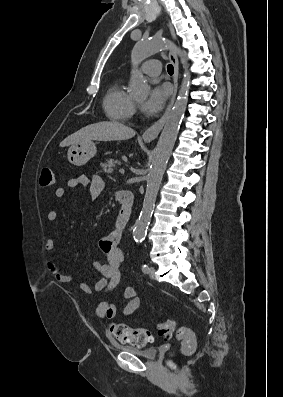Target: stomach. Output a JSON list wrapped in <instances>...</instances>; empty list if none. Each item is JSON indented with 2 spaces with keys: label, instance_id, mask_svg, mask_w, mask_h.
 <instances>
[{
  "label": "stomach",
  "instance_id": "stomach-1",
  "mask_svg": "<svg viewBox=\"0 0 283 397\" xmlns=\"http://www.w3.org/2000/svg\"><path fill=\"white\" fill-rule=\"evenodd\" d=\"M96 146L92 141L72 145L67 152L68 161L75 166L86 164L96 154Z\"/></svg>",
  "mask_w": 283,
  "mask_h": 397
}]
</instances>
